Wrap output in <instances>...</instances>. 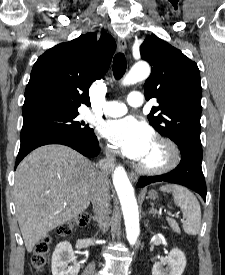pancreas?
I'll return each instance as SVG.
<instances>
[{
  "mask_svg": "<svg viewBox=\"0 0 225 275\" xmlns=\"http://www.w3.org/2000/svg\"><path fill=\"white\" fill-rule=\"evenodd\" d=\"M167 221L170 227L173 229V231L180 234V228L178 226V223L173 219H168Z\"/></svg>",
  "mask_w": 225,
  "mask_h": 275,
  "instance_id": "obj_1",
  "label": "pancreas"
}]
</instances>
